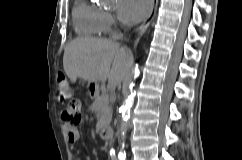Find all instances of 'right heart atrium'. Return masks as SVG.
Wrapping results in <instances>:
<instances>
[{
	"mask_svg": "<svg viewBox=\"0 0 242 160\" xmlns=\"http://www.w3.org/2000/svg\"><path fill=\"white\" fill-rule=\"evenodd\" d=\"M105 31H110L114 26V18L108 11H102Z\"/></svg>",
	"mask_w": 242,
	"mask_h": 160,
	"instance_id": "d8ad5b80",
	"label": "right heart atrium"
}]
</instances>
